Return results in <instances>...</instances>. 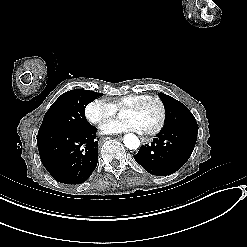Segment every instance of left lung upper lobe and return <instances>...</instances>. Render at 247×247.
<instances>
[{"mask_svg":"<svg viewBox=\"0 0 247 247\" xmlns=\"http://www.w3.org/2000/svg\"><path fill=\"white\" fill-rule=\"evenodd\" d=\"M159 97L165 104L166 120L165 129H174L179 127H195L197 122L189 109L173 97L160 92Z\"/></svg>","mask_w":247,"mask_h":247,"instance_id":"1","label":"left lung upper lobe"}]
</instances>
